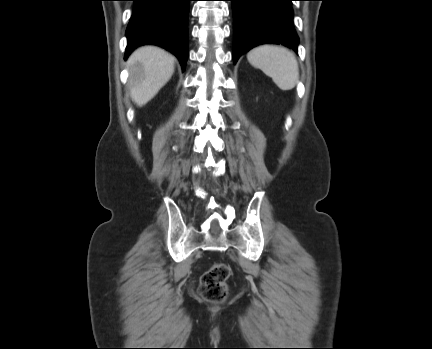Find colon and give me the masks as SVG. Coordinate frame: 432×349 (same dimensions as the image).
<instances>
[{"label":"colon","mask_w":432,"mask_h":349,"mask_svg":"<svg viewBox=\"0 0 432 349\" xmlns=\"http://www.w3.org/2000/svg\"><path fill=\"white\" fill-rule=\"evenodd\" d=\"M230 268L225 263H216L201 277L199 292L208 301L221 302L227 296L226 282Z\"/></svg>","instance_id":"5ec220e1"}]
</instances>
